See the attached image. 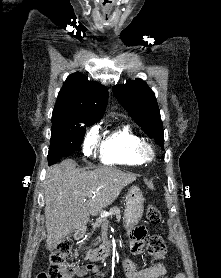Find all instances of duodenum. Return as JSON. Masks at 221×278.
<instances>
[{
  "label": "duodenum",
  "instance_id": "duodenum-1",
  "mask_svg": "<svg viewBox=\"0 0 221 278\" xmlns=\"http://www.w3.org/2000/svg\"><path fill=\"white\" fill-rule=\"evenodd\" d=\"M84 229H81L75 233V239L80 240L84 236ZM112 253V246L109 243H105L99 247H96L89 254V259L91 262H95L101 259H104L110 256ZM92 264H89L87 267H92Z\"/></svg>",
  "mask_w": 221,
  "mask_h": 278
}]
</instances>
